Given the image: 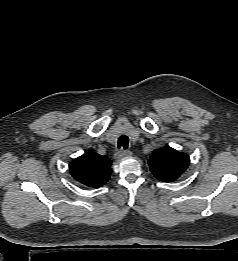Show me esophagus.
<instances>
[{
	"label": "esophagus",
	"instance_id": "1",
	"mask_svg": "<svg viewBox=\"0 0 238 261\" xmlns=\"http://www.w3.org/2000/svg\"><path fill=\"white\" fill-rule=\"evenodd\" d=\"M130 155H131V151L120 149L116 152L115 157L116 159H122L123 157L130 156Z\"/></svg>",
	"mask_w": 238,
	"mask_h": 261
}]
</instances>
